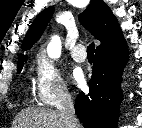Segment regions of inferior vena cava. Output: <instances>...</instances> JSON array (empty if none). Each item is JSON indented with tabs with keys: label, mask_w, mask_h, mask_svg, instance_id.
Segmentation results:
<instances>
[{
	"label": "inferior vena cava",
	"mask_w": 142,
	"mask_h": 128,
	"mask_svg": "<svg viewBox=\"0 0 142 128\" xmlns=\"http://www.w3.org/2000/svg\"><path fill=\"white\" fill-rule=\"evenodd\" d=\"M58 107L66 121L67 128H80V124L75 115L74 104L68 92L61 95Z\"/></svg>",
	"instance_id": "1"
}]
</instances>
